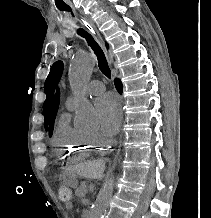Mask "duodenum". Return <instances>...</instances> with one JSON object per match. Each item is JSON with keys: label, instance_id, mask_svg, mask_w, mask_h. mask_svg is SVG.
<instances>
[{"label": "duodenum", "instance_id": "410a0bca", "mask_svg": "<svg viewBox=\"0 0 211 218\" xmlns=\"http://www.w3.org/2000/svg\"><path fill=\"white\" fill-rule=\"evenodd\" d=\"M82 216H83V218H89L90 217V211L88 209L83 210Z\"/></svg>", "mask_w": 211, "mask_h": 218}]
</instances>
